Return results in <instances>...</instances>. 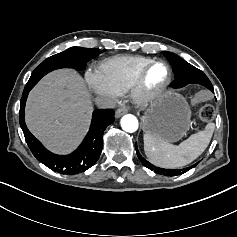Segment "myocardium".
<instances>
[{
    "instance_id": "obj_1",
    "label": "myocardium",
    "mask_w": 237,
    "mask_h": 237,
    "mask_svg": "<svg viewBox=\"0 0 237 237\" xmlns=\"http://www.w3.org/2000/svg\"><path fill=\"white\" fill-rule=\"evenodd\" d=\"M163 65L166 68L165 80L156 87H149L146 81L147 74L155 65ZM172 77V71L169 64L163 60H151L139 73L136 81L131 88L133 101L141 106L146 107L156 101L167 89Z\"/></svg>"
}]
</instances>
